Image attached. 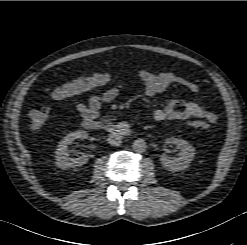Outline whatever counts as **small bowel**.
Returning a JSON list of instances; mask_svg holds the SVG:
<instances>
[{
  "label": "small bowel",
  "instance_id": "obj_1",
  "mask_svg": "<svg viewBox=\"0 0 247 245\" xmlns=\"http://www.w3.org/2000/svg\"><path fill=\"white\" fill-rule=\"evenodd\" d=\"M142 85L143 92L148 96H153L167 90L172 84H177L185 89L203 95L200 87L173 72L154 73L149 70H140L137 74ZM126 82L119 79L115 85L107 88L101 94L93 95L87 103H80L76 106V112L83 120H94L100 115L101 107L104 103H109L118 98L124 89ZM156 121L169 120H204L210 124L217 121V115L205 108L203 105L183 100H172L164 108H157L153 112Z\"/></svg>",
  "mask_w": 247,
  "mask_h": 245
}]
</instances>
